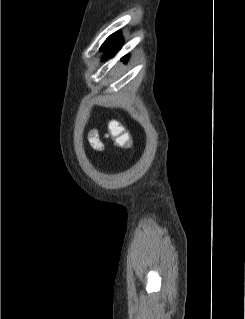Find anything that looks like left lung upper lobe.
<instances>
[{
  "label": "left lung upper lobe",
  "mask_w": 245,
  "mask_h": 319,
  "mask_svg": "<svg viewBox=\"0 0 245 319\" xmlns=\"http://www.w3.org/2000/svg\"><path fill=\"white\" fill-rule=\"evenodd\" d=\"M119 40H120L119 33H114V34L110 35L106 39L105 43L102 45V49L105 51H109V50L113 49L117 45Z\"/></svg>",
  "instance_id": "left-lung-upper-lobe-1"
}]
</instances>
